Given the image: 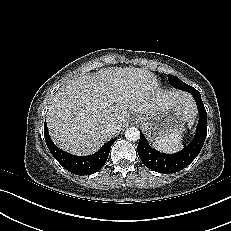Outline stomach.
Listing matches in <instances>:
<instances>
[{"label": "stomach", "mask_w": 231, "mask_h": 231, "mask_svg": "<svg viewBox=\"0 0 231 231\" xmlns=\"http://www.w3.org/2000/svg\"><path fill=\"white\" fill-rule=\"evenodd\" d=\"M133 118L142 126L150 141L183 130L186 122L184 109L172 104L151 113L136 114Z\"/></svg>", "instance_id": "obj_1"}]
</instances>
